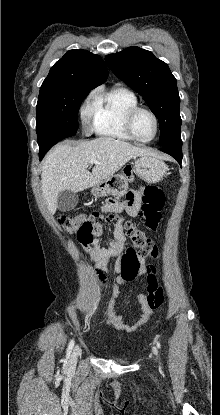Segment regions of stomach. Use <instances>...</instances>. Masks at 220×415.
I'll list each match as a JSON object with an SVG mask.
<instances>
[{
    "label": "stomach",
    "mask_w": 220,
    "mask_h": 415,
    "mask_svg": "<svg viewBox=\"0 0 220 415\" xmlns=\"http://www.w3.org/2000/svg\"><path fill=\"white\" fill-rule=\"evenodd\" d=\"M135 173L148 183L161 180L166 172L163 161L153 156H141L135 161ZM128 189V179L122 174H115L93 186L91 193L96 197L123 196Z\"/></svg>",
    "instance_id": "stomach-1"
}]
</instances>
